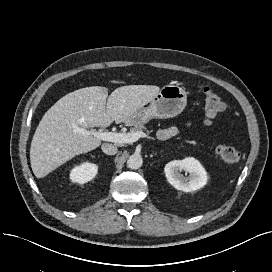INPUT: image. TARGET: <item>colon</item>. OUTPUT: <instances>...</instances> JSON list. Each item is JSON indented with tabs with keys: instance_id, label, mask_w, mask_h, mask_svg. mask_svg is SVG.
I'll list each match as a JSON object with an SVG mask.
<instances>
[{
	"instance_id": "obj_1",
	"label": "colon",
	"mask_w": 272,
	"mask_h": 272,
	"mask_svg": "<svg viewBox=\"0 0 272 272\" xmlns=\"http://www.w3.org/2000/svg\"><path fill=\"white\" fill-rule=\"evenodd\" d=\"M203 96L205 123L211 124L225 110V103L213 89L208 87L204 88ZM215 151L227 163H236L242 157L239 150L227 144H215Z\"/></svg>"
}]
</instances>
